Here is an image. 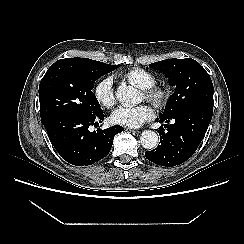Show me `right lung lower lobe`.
Returning a JSON list of instances; mask_svg holds the SVG:
<instances>
[{"label": "right lung lower lobe", "mask_w": 244, "mask_h": 244, "mask_svg": "<svg viewBox=\"0 0 244 244\" xmlns=\"http://www.w3.org/2000/svg\"><path fill=\"white\" fill-rule=\"evenodd\" d=\"M105 115L65 114L48 118L42 124L59 155L68 163L76 166H88L108 155L114 136L123 127L115 125L108 129L91 132V125L101 123Z\"/></svg>", "instance_id": "right-lung-lower-lobe-1"}]
</instances>
